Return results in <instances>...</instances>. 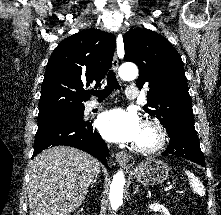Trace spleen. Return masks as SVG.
I'll return each instance as SVG.
<instances>
[{"mask_svg":"<svg viewBox=\"0 0 221 215\" xmlns=\"http://www.w3.org/2000/svg\"><path fill=\"white\" fill-rule=\"evenodd\" d=\"M190 181V186L197 192L199 196H204L205 188L200 180L190 171H185Z\"/></svg>","mask_w":221,"mask_h":215,"instance_id":"obj_1","label":"spleen"}]
</instances>
